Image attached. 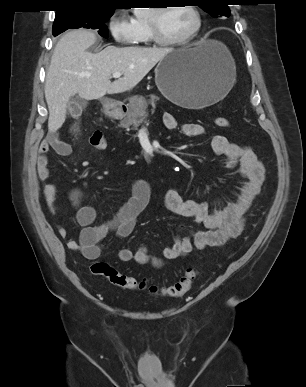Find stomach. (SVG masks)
<instances>
[{
	"mask_svg": "<svg viewBox=\"0 0 306 387\" xmlns=\"http://www.w3.org/2000/svg\"><path fill=\"white\" fill-rule=\"evenodd\" d=\"M236 71L228 49L215 40L169 52L155 68L159 91L171 102L201 109L223 99L235 83ZM107 116H121L112 100L102 101Z\"/></svg>",
	"mask_w": 306,
	"mask_h": 387,
	"instance_id": "stomach-1",
	"label": "stomach"
}]
</instances>
